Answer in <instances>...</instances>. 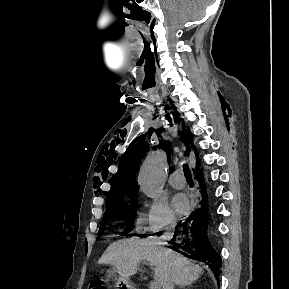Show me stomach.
Wrapping results in <instances>:
<instances>
[{"instance_id":"1","label":"stomach","mask_w":289,"mask_h":289,"mask_svg":"<svg viewBox=\"0 0 289 289\" xmlns=\"http://www.w3.org/2000/svg\"><path fill=\"white\" fill-rule=\"evenodd\" d=\"M107 275L114 279L115 285L119 289H133L129 278H125L120 275L117 276V271L113 267L107 269Z\"/></svg>"}]
</instances>
